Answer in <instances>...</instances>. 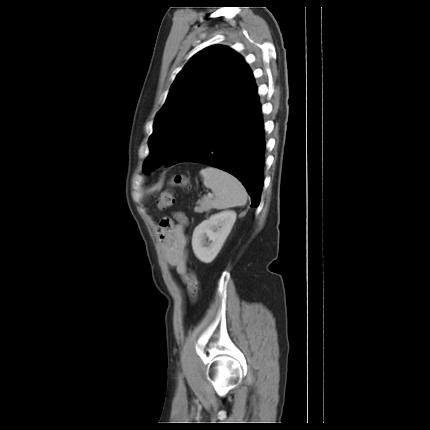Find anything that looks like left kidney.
Masks as SVG:
<instances>
[{"instance_id":"5707ae66","label":"left kidney","mask_w":430,"mask_h":430,"mask_svg":"<svg viewBox=\"0 0 430 430\" xmlns=\"http://www.w3.org/2000/svg\"><path fill=\"white\" fill-rule=\"evenodd\" d=\"M235 221L236 212L227 210L215 213L201 222L192 236L195 256L203 263H211L220 252Z\"/></svg>"}]
</instances>
